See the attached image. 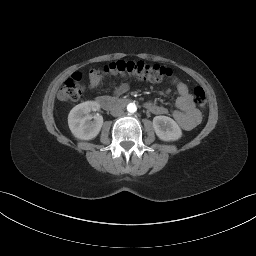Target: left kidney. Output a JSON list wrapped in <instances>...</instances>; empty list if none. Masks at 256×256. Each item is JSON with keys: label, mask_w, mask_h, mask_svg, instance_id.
Segmentation results:
<instances>
[{"label": "left kidney", "mask_w": 256, "mask_h": 256, "mask_svg": "<svg viewBox=\"0 0 256 256\" xmlns=\"http://www.w3.org/2000/svg\"><path fill=\"white\" fill-rule=\"evenodd\" d=\"M153 128L159 139L163 141H176L182 136L179 125L167 116L154 117Z\"/></svg>", "instance_id": "left-kidney-1"}]
</instances>
